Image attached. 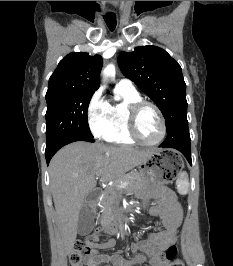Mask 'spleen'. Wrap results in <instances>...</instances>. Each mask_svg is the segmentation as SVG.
<instances>
[{
  "mask_svg": "<svg viewBox=\"0 0 233 266\" xmlns=\"http://www.w3.org/2000/svg\"><path fill=\"white\" fill-rule=\"evenodd\" d=\"M177 190L180 194L185 195L189 191V180L186 172L181 173L177 182Z\"/></svg>",
  "mask_w": 233,
  "mask_h": 266,
  "instance_id": "3e777b00",
  "label": "spleen"
}]
</instances>
